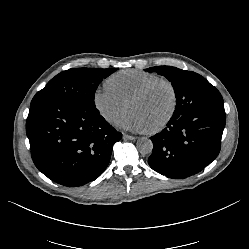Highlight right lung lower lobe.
<instances>
[{"instance_id": "98d812e1", "label": "right lung lower lobe", "mask_w": 249, "mask_h": 249, "mask_svg": "<svg viewBox=\"0 0 249 249\" xmlns=\"http://www.w3.org/2000/svg\"><path fill=\"white\" fill-rule=\"evenodd\" d=\"M36 167L65 186H81L106 169L115 142L122 138L96 108L70 101L30 106L26 120Z\"/></svg>"}]
</instances>
